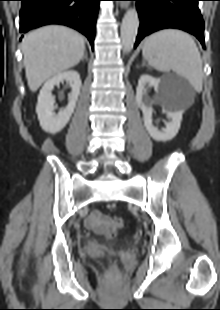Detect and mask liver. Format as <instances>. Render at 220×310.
Instances as JSON below:
<instances>
[{
	"mask_svg": "<svg viewBox=\"0 0 220 310\" xmlns=\"http://www.w3.org/2000/svg\"><path fill=\"white\" fill-rule=\"evenodd\" d=\"M22 52L28 86L35 92L52 76L77 65L84 56L85 43L78 32L50 25L28 33Z\"/></svg>",
	"mask_w": 220,
	"mask_h": 310,
	"instance_id": "6515ba94",
	"label": "liver"
}]
</instances>
